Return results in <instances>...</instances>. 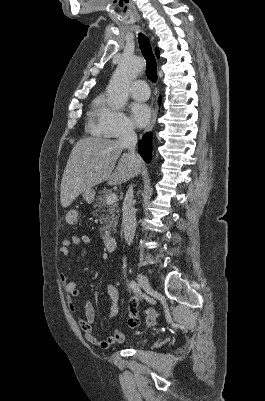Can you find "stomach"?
I'll return each instance as SVG.
<instances>
[{
  "label": "stomach",
  "mask_w": 265,
  "mask_h": 401,
  "mask_svg": "<svg viewBox=\"0 0 265 401\" xmlns=\"http://www.w3.org/2000/svg\"><path fill=\"white\" fill-rule=\"evenodd\" d=\"M82 196L84 198V201H86V203H93L95 198L94 188H88V190H84V192H82Z\"/></svg>",
  "instance_id": "0dacf381"
}]
</instances>
